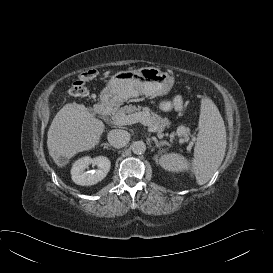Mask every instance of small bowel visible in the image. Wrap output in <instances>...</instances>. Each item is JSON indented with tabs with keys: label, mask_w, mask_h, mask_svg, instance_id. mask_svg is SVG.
Instances as JSON below:
<instances>
[{
	"label": "small bowel",
	"mask_w": 273,
	"mask_h": 273,
	"mask_svg": "<svg viewBox=\"0 0 273 273\" xmlns=\"http://www.w3.org/2000/svg\"><path fill=\"white\" fill-rule=\"evenodd\" d=\"M161 109L163 110H170V109H176L181 110L182 108V99L180 96H175L172 99L164 100L160 104Z\"/></svg>",
	"instance_id": "c3829d8e"
}]
</instances>
